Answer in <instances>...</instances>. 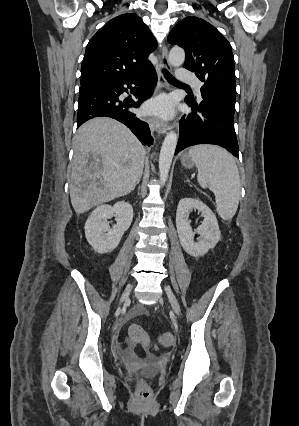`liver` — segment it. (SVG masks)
Instances as JSON below:
<instances>
[{"label":"liver","mask_w":299,"mask_h":426,"mask_svg":"<svg viewBox=\"0 0 299 426\" xmlns=\"http://www.w3.org/2000/svg\"><path fill=\"white\" fill-rule=\"evenodd\" d=\"M73 149L69 190L77 214L127 195L142 176L145 149L114 119L97 117L81 125Z\"/></svg>","instance_id":"liver-1"}]
</instances>
